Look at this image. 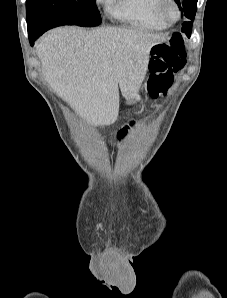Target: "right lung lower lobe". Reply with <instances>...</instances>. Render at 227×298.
Masks as SVG:
<instances>
[{"label":"right lung lower lobe","mask_w":227,"mask_h":298,"mask_svg":"<svg viewBox=\"0 0 227 298\" xmlns=\"http://www.w3.org/2000/svg\"><path fill=\"white\" fill-rule=\"evenodd\" d=\"M44 32L43 31H38V32H34L32 34H28L29 36V41H30V45L33 46L34 45V41L40 36L42 35Z\"/></svg>","instance_id":"1"}]
</instances>
